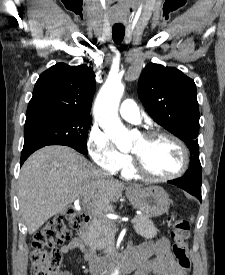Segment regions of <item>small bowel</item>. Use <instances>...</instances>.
Here are the masks:
<instances>
[{
	"label": "small bowel",
	"mask_w": 225,
	"mask_h": 275,
	"mask_svg": "<svg viewBox=\"0 0 225 275\" xmlns=\"http://www.w3.org/2000/svg\"><path fill=\"white\" fill-rule=\"evenodd\" d=\"M76 249L83 250V244L78 237H73L61 247V252L69 254ZM130 254L139 262L134 275H187L175 262L170 252L169 241L165 237L143 243L131 250ZM59 275L72 274L61 272Z\"/></svg>",
	"instance_id": "obj_1"
}]
</instances>
